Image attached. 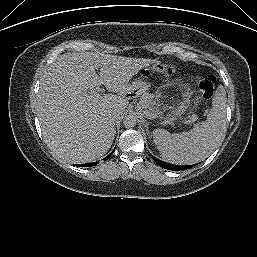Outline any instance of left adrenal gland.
<instances>
[{"mask_svg": "<svg viewBox=\"0 0 257 257\" xmlns=\"http://www.w3.org/2000/svg\"><path fill=\"white\" fill-rule=\"evenodd\" d=\"M148 126H149V124L146 122V123H145V127H147V128H148Z\"/></svg>", "mask_w": 257, "mask_h": 257, "instance_id": "obj_1", "label": "left adrenal gland"}]
</instances>
